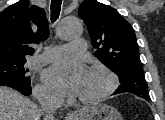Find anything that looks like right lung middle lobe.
<instances>
[{
    "instance_id": "right-lung-middle-lobe-1",
    "label": "right lung middle lobe",
    "mask_w": 165,
    "mask_h": 120,
    "mask_svg": "<svg viewBox=\"0 0 165 120\" xmlns=\"http://www.w3.org/2000/svg\"><path fill=\"white\" fill-rule=\"evenodd\" d=\"M26 58H13L0 60V80L17 81L30 85L27 76L28 69L24 67Z\"/></svg>"
}]
</instances>
